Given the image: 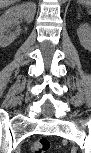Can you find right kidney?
Wrapping results in <instances>:
<instances>
[{
    "label": "right kidney",
    "instance_id": "right-kidney-1",
    "mask_svg": "<svg viewBox=\"0 0 91 153\" xmlns=\"http://www.w3.org/2000/svg\"><path fill=\"white\" fill-rule=\"evenodd\" d=\"M36 13V5L25 3L16 5L4 12L0 17V46H9L19 35V32L9 33L8 29L18 24L19 18H23L27 23H31Z\"/></svg>",
    "mask_w": 91,
    "mask_h": 153
}]
</instances>
